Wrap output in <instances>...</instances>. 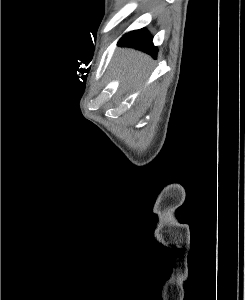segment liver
Masks as SVG:
<instances>
[{
    "instance_id": "1",
    "label": "liver",
    "mask_w": 245,
    "mask_h": 300,
    "mask_svg": "<svg viewBox=\"0 0 245 300\" xmlns=\"http://www.w3.org/2000/svg\"><path fill=\"white\" fill-rule=\"evenodd\" d=\"M151 58L132 49H121L116 56L114 68L129 86H139L147 76Z\"/></svg>"
}]
</instances>
